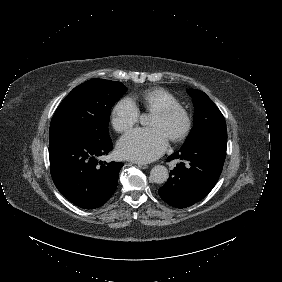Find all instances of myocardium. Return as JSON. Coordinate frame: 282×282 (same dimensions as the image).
Returning <instances> with one entry per match:
<instances>
[{
	"instance_id": "myocardium-1",
	"label": "myocardium",
	"mask_w": 282,
	"mask_h": 282,
	"mask_svg": "<svg viewBox=\"0 0 282 282\" xmlns=\"http://www.w3.org/2000/svg\"><path fill=\"white\" fill-rule=\"evenodd\" d=\"M153 114L159 115L165 119L178 118L180 120L179 128L169 136L173 142L183 140L189 133L191 128V119L189 114L180 106L167 105L153 111Z\"/></svg>"
}]
</instances>
